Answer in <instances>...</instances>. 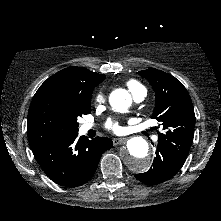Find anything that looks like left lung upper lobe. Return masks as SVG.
Instances as JSON below:
<instances>
[{
	"label": "left lung upper lobe",
	"instance_id": "left-lung-upper-lobe-1",
	"mask_svg": "<svg viewBox=\"0 0 221 221\" xmlns=\"http://www.w3.org/2000/svg\"><path fill=\"white\" fill-rule=\"evenodd\" d=\"M153 87L156 107L151 118L161 123L158 144L166 147L178 160L185 162L194 136L195 113L188 91L172 75L150 68L138 72Z\"/></svg>",
	"mask_w": 221,
	"mask_h": 221
}]
</instances>
